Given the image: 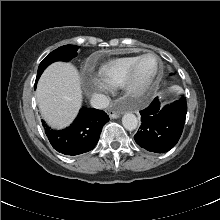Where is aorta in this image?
Listing matches in <instances>:
<instances>
[{"mask_svg":"<svg viewBox=\"0 0 220 220\" xmlns=\"http://www.w3.org/2000/svg\"><path fill=\"white\" fill-rule=\"evenodd\" d=\"M122 125L125 129L133 131L137 128L138 119L132 113H127L122 117Z\"/></svg>","mask_w":220,"mask_h":220,"instance_id":"aorta-1","label":"aorta"}]
</instances>
